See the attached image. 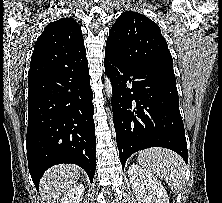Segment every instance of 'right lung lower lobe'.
Instances as JSON below:
<instances>
[{"label": "right lung lower lobe", "instance_id": "1", "mask_svg": "<svg viewBox=\"0 0 222 203\" xmlns=\"http://www.w3.org/2000/svg\"><path fill=\"white\" fill-rule=\"evenodd\" d=\"M27 158L39 189L51 166L72 163L92 182L96 169L94 106L88 64L28 78Z\"/></svg>", "mask_w": 222, "mask_h": 203}]
</instances>
